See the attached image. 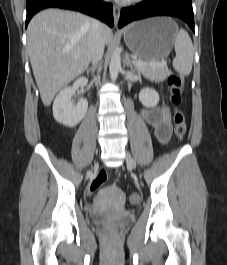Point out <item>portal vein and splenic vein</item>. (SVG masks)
<instances>
[{
    "label": "portal vein and splenic vein",
    "mask_w": 227,
    "mask_h": 265,
    "mask_svg": "<svg viewBox=\"0 0 227 265\" xmlns=\"http://www.w3.org/2000/svg\"><path fill=\"white\" fill-rule=\"evenodd\" d=\"M134 64L138 67L141 66H151V67H164L166 66V61H151V62H142V61H134Z\"/></svg>",
    "instance_id": "portal-vein-and-splenic-vein-1"
}]
</instances>
